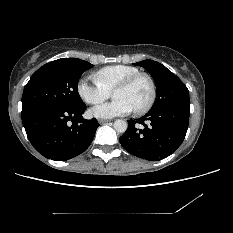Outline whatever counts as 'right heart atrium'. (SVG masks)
Here are the masks:
<instances>
[{
	"label": "right heart atrium",
	"instance_id": "right-heart-atrium-1",
	"mask_svg": "<svg viewBox=\"0 0 233 233\" xmlns=\"http://www.w3.org/2000/svg\"><path fill=\"white\" fill-rule=\"evenodd\" d=\"M77 93L83 101L92 105L102 103L110 96V92L98 82L88 83L85 79L79 81Z\"/></svg>",
	"mask_w": 233,
	"mask_h": 233
}]
</instances>
